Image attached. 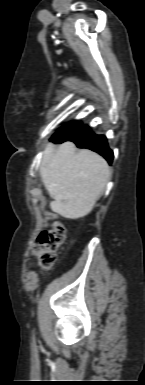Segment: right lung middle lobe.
<instances>
[{
  "label": "right lung middle lobe",
  "mask_w": 145,
  "mask_h": 385,
  "mask_svg": "<svg viewBox=\"0 0 145 385\" xmlns=\"http://www.w3.org/2000/svg\"><path fill=\"white\" fill-rule=\"evenodd\" d=\"M77 121H71L67 124H65L63 127H61L54 135H57L58 133L62 132V131H65L67 129H69L71 126H73Z\"/></svg>",
  "instance_id": "right-lung-middle-lobe-1"
}]
</instances>
